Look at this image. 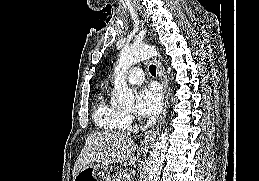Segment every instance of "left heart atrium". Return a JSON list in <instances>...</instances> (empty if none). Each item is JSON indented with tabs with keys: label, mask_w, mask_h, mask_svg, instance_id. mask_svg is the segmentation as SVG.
I'll use <instances>...</instances> for the list:
<instances>
[{
	"label": "left heart atrium",
	"mask_w": 259,
	"mask_h": 181,
	"mask_svg": "<svg viewBox=\"0 0 259 181\" xmlns=\"http://www.w3.org/2000/svg\"><path fill=\"white\" fill-rule=\"evenodd\" d=\"M137 113L145 120L155 118L162 108V93L156 85L142 87L136 99Z\"/></svg>",
	"instance_id": "39dd6f15"
}]
</instances>
